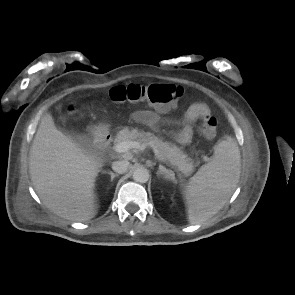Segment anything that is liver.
<instances>
[{"label": "liver", "instance_id": "liver-1", "mask_svg": "<svg viewBox=\"0 0 295 295\" xmlns=\"http://www.w3.org/2000/svg\"><path fill=\"white\" fill-rule=\"evenodd\" d=\"M103 160L59 131L50 114L41 118L29 153L33 187L52 212L71 221L97 214L96 178Z\"/></svg>", "mask_w": 295, "mask_h": 295}]
</instances>
